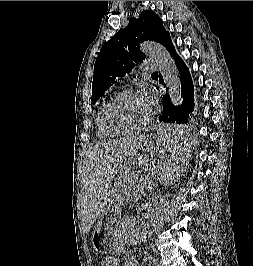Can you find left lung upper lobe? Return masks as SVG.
<instances>
[{
  "mask_svg": "<svg viewBox=\"0 0 253 266\" xmlns=\"http://www.w3.org/2000/svg\"><path fill=\"white\" fill-rule=\"evenodd\" d=\"M169 36L161 18L153 11L145 10L138 19L131 18L128 26L120 29L99 52L94 64L92 104L114 84L116 77L129 73L135 63L144 59L141 42L153 40L164 45Z\"/></svg>",
  "mask_w": 253,
  "mask_h": 266,
  "instance_id": "obj_1",
  "label": "left lung upper lobe"
}]
</instances>
